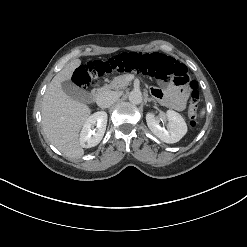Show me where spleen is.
Here are the masks:
<instances>
[{
    "mask_svg": "<svg viewBox=\"0 0 247 247\" xmlns=\"http://www.w3.org/2000/svg\"><path fill=\"white\" fill-rule=\"evenodd\" d=\"M204 113H205V111H204V110H202V111H201V116H203V115H204Z\"/></svg>",
    "mask_w": 247,
    "mask_h": 247,
    "instance_id": "1",
    "label": "spleen"
}]
</instances>
